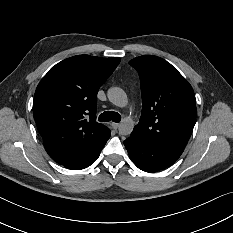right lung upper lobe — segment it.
Masks as SVG:
<instances>
[{
	"label": "right lung upper lobe",
	"instance_id": "1",
	"mask_svg": "<svg viewBox=\"0 0 233 233\" xmlns=\"http://www.w3.org/2000/svg\"><path fill=\"white\" fill-rule=\"evenodd\" d=\"M120 60L73 56L53 66L40 81L33 116L55 162L78 161L110 135L111 131L96 121L97 93Z\"/></svg>",
	"mask_w": 233,
	"mask_h": 233
}]
</instances>
